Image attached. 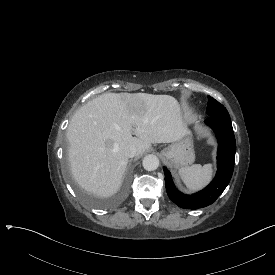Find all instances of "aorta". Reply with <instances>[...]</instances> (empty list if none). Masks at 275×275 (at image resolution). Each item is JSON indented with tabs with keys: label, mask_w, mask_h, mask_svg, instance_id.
Wrapping results in <instances>:
<instances>
[{
	"label": "aorta",
	"mask_w": 275,
	"mask_h": 275,
	"mask_svg": "<svg viewBox=\"0 0 275 275\" xmlns=\"http://www.w3.org/2000/svg\"><path fill=\"white\" fill-rule=\"evenodd\" d=\"M159 166V159L156 155L149 154L143 159V167L147 171L156 170Z\"/></svg>",
	"instance_id": "762f6f07"
}]
</instances>
